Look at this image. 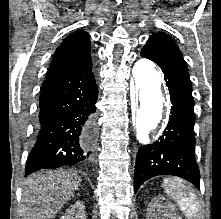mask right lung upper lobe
I'll use <instances>...</instances> for the list:
<instances>
[{
	"instance_id": "right-lung-upper-lobe-1",
	"label": "right lung upper lobe",
	"mask_w": 221,
	"mask_h": 219,
	"mask_svg": "<svg viewBox=\"0 0 221 219\" xmlns=\"http://www.w3.org/2000/svg\"><path fill=\"white\" fill-rule=\"evenodd\" d=\"M91 59L90 36L77 30L63 40L54 53L46 78H53L76 69Z\"/></svg>"
}]
</instances>
